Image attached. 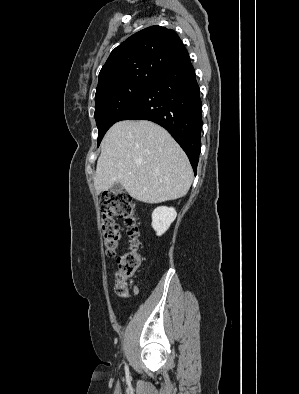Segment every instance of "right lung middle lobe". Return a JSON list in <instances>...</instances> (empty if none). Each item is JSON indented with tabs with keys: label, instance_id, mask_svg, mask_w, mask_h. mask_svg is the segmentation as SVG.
Here are the masks:
<instances>
[{
	"label": "right lung middle lobe",
	"instance_id": "1",
	"mask_svg": "<svg viewBox=\"0 0 299 394\" xmlns=\"http://www.w3.org/2000/svg\"><path fill=\"white\" fill-rule=\"evenodd\" d=\"M151 83L130 82L106 90L95 96L94 117L98 128L97 143L106 131L130 108Z\"/></svg>",
	"mask_w": 299,
	"mask_h": 394
}]
</instances>
